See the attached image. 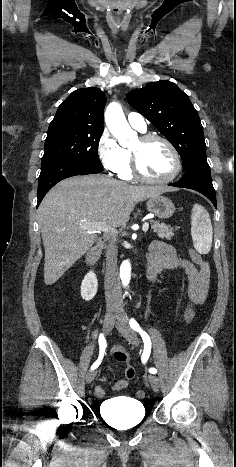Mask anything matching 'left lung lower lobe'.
Returning <instances> with one entry per match:
<instances>
[{"label": "left lung lower lobe", "instance_id": "obj_1", "mask_svg": "<svg viewBox=\"0 0 236 467\" xmlns=\"http://www.w3.org/2000/svg\"><path fill=\"white\" fill-rule=\"evenodd\" d=\"M169 185L196 190L205 195L216 207V193L207 161L195 164L185 171L183 177L178 182Z\"/></svg>", "mask_w": 236, "mask_h": 467}]
</instances>
